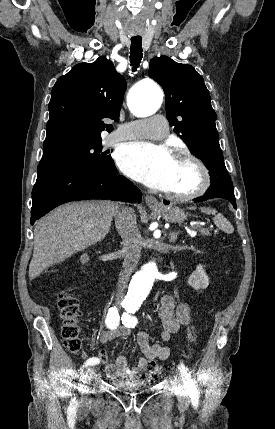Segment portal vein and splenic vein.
<instances>
[{
	"label": "portal vein and splenic vein",
	"mask_w": 275,
	"mask_h": 429,
	"mask_svg": "<svg viewBox=\"0 0 275 429\" xmlns=\"http://www.w3.org/2000/svg\"><path fill=\"white\" fill-rule=\"evenodd\" d=\"M189 234H190L191 236H194L196 233H195V232H192V231H189Z\"/></svg>",
	"instance_id": "obj_1"
}]
</instances>
